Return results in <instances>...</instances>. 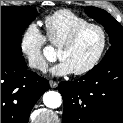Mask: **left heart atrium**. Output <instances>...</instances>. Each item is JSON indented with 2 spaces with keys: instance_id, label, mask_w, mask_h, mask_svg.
Instances as JSON below:
<instances>
[{
  "instance_id": "left-heart-atrium-1",
  "label": "left heart atrium",
  "mask_w": 123,
  "mask_h": 123,
  "mask_svg": "<svg viewBox=\"0 0 123 123\" xmlns=\"http://www.w3.org/2000/svg\"><path fill=\"white\" fill-rule=\"evenodd\" d=\"M50 72L55 76H64L72 73L73 70L66 61L60 59V61L50 69Z\"/></svg>"
}]
</instances>
